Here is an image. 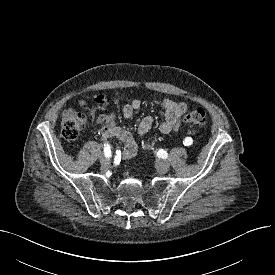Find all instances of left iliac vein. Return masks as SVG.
Masks as SVG:
<instances>
[{
    "instance_id": "left-iliac-vein-1",
    "label": "left iliac vein",
    "mask_w": 275,
    "mask_h": 275,
    "mask_svg": "<svg viewBox=\"0 0 275 275\" xmlns=\"http://www.w3.org/2000/svg\"><path fill=\"white\" fill-rule=\"evenodd\" d=\"M156 169L161 173H166L170 169V163L168 161L158 159L155 163Z\"/></svg>"
}]
</instances>
